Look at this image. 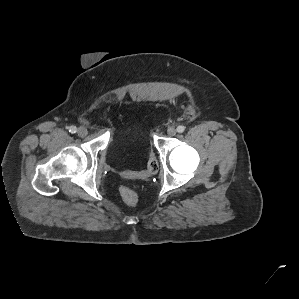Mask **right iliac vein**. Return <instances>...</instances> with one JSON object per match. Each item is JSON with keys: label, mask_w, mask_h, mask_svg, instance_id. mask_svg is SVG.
Here are the masks:
<instances>
[{"label": "right iliac vein", "mask_w": 299, "mask_h": 299, "mask_svg": "<svg viewBox=\"0 0 299 299\" xmlns=\"http://www.w3.org/2000/svg\"><path fill=\"white\" fill-rule=\"evenodd\" d=\"M77 134L80 137H84L88 134V130L85 127H79L78 130H77Z\"/></svg>", "instance_id": "right-iliac-vein-1"}]
</instances>
